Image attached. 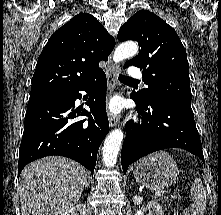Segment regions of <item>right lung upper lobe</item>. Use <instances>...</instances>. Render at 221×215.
<instances>
[{
  "mask_svg": "<svg viewBox=\"0 0 221 215\" xmlns=\"http://www.w3.org/2000/svg\"><path fill=\"white\" fill-rule=\"evenodd\" d=\"M115 46L114 38L87 14L80 13L59 28L42 50L32 79L29 101L68 91L91 79L102 69Z\"/></svg>",
  "mask_w": 221,
  "mask_h": 215,
  "instance_id": "right-lung-upper-lobe-1",
  "label": "right lung upper lobe"
}]
</instances>
